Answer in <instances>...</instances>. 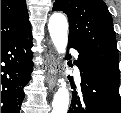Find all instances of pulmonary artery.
<instances>
[{"label": "pulmonary artery", "mask_w": 121, "mask_h": 113, "mask_svg": "<svg viewBox=\"0 0 121 113\" xmlns=\"http://www.w3.org/2000/svg\"><path fill=\"white\" fill-rule=\"evenodd\" d=\"M74 71H75V73L77 74V76H79V69H78L77 66L74 67Z\"/></svg>", "instance_id": "obj_1"}]
</instances>
